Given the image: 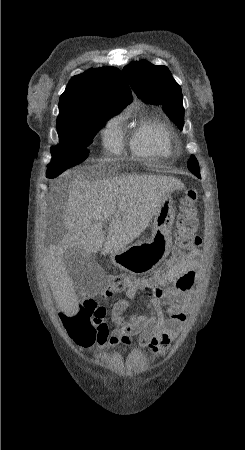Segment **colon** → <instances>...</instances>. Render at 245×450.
<instances>
[{"label": "colon", "instance_id": "obj_1", "mask_svg": "<svg viewBox=\"0 0 245 450\" xmlns=\"http://www.w3.org/2000/svg\"><path fill=\"white\" fill-rule=\"evenodd\" d=\"M197 200L198 192L195 189L187 190L180 200V213L175 234L177 259L184 258L202 244L201 238L195 234ZM147 280L153 282V277H148ZM108 283L113 290L122 291L134 285L136 280L126 274H115L110 277ZM105 314V309L94 299L83 297L77 311L65 317L63 326L67 335L77 343L93 342L96 338V326Z\"/></svg>", "mask_w": 245, "mask_h": 450}]
</instances>
